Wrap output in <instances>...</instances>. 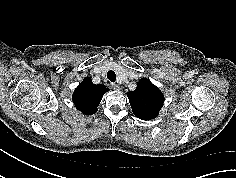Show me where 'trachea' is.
<instances>
[{
	"instance_id": "trachea-1",
	"label": "trachea",
	"mask_w": 236,
	"mask_h": 178,
	"mask_svg": "<svg viewBox=\"0 0 236 178\" xmlns=\"http://www.w3.org/2000/svg\"><path fill=\"white\" fill-rule=\"evenodd\" d=\"M107 78L111 81V82H115L116 81V74L114 71L110 70L107 73Z\"/></svg>"
}]
</instances>
